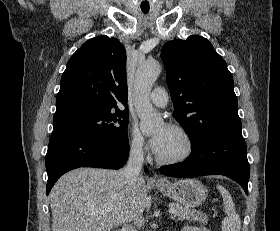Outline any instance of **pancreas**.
<instances>
[{"mask_svg":"<svg viewBox=\"0 0 280 231\" xmlns=\"http://www.w3.org/2000/svg\"><path fill=\"white\" fill-rule=\"evenodd\" d=\"M170 207H176L174 215L177 219H190V221H200V223H207V215L201 213V211H196V209H190V207H185L181 203H170Z\"/></svg>","mask_w":280,"mask_h":231,"instance_id":"1","label":"pancreas"}]
</instances>
